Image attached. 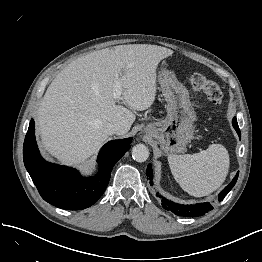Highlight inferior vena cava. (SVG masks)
I'll list each match as a JSON object with an SVG mask.
<instances>
[{
    "instance_id": "602c4592",
    "label": "inferior vena cava",
    "mask_w": 262,
    "mask_h": 262,
    "mask_svg": "<svg viewBox=\"0 0 262 262\" xmlns=\"http://www.w3.org/2000/svg\"><path fill=\"white\" fill-rule=\"evenodd\" d=\"M105 130L109 135L121 134L124 132V127L119 123H109L105 126Z\"/></svg>"
}]
</instances>
